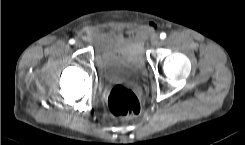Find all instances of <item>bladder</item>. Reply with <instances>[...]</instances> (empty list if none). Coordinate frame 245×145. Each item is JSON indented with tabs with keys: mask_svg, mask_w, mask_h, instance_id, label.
Instances as JSON below:
<instances>
[{
	"mask_svg": "<svg viewBox=\"0 0 245 145\" xmlns=\"http://www.w3.org/2000/svg\"><path fill=\"white\" fill-rule=\"evenodd\" d=\"M94 62L107 81L133 80L145 69L141 43L125 33L104 34Z\"/></svg>",
	"mask_w": 245,
	"mask_h": 145,
	"instance_id": "bladder-1",
	"label": "bladder"
}]
</instances>
